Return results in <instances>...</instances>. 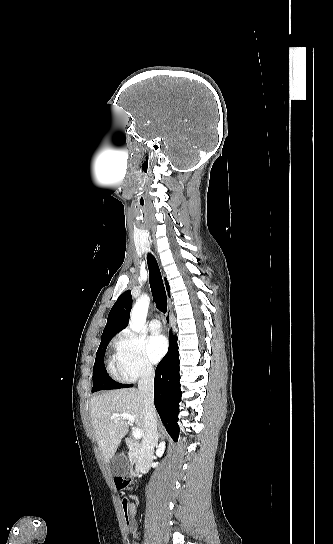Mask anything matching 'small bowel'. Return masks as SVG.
<instances>
[{
	"label": "small bowel",
	"instance_id": "1",
	"mask_svg": "<svg viewBox=\"0 0 333 544\" xmlns=\"http://www.w3.org/2000/svg\"><path fill=\"white\" fill-rule=\"evenodd\" d=\"M122 507L124 510V515L126 518V525L128 530L131 533L136 532L137 530V523L135 519L136 514V506L134 503H130L128 501L122 500Z\"/></svg>",
	"mask_w": 333,
	"mask_h": 544
}]
</instances>
